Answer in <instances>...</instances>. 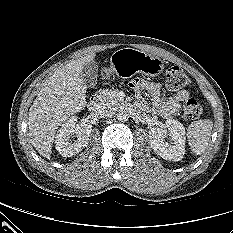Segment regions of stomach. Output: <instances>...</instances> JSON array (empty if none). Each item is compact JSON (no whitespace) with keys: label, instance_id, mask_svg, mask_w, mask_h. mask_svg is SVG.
<instances>
[{"label":"stomach","instance_id":"obj_1","mask_svg":"<svg viewBox=\"0 0 233 233\" xmlns=\"http://www.w3.org/2000/svg\"><path fill=\"white\" fill-rule=\"evenodd\" d=\"M110 64V72L122 77H129L135 73L157 76L164 69L160 58L134 48L115 51L111 56Z\"/></svg>","mask_w":233,"mask_h":233}]
</instances>
